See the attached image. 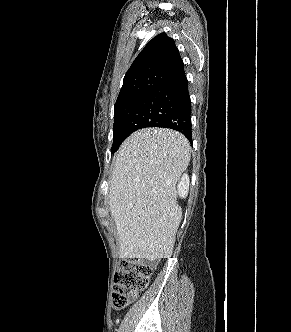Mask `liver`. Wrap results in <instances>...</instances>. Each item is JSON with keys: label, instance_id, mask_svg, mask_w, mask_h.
<instances>
[{"label": "liver", "instance_id": "1", "mask_svg": "<svg viewBox=\"0 0 291 332\" xmlns=\"http://www.w3.org/2000/svg\"><path fill=\"white\" fill-rule=\"evenodd\" d=\"M190 156L188 140L170 129H141L123 142L109 187L120 258L154 261L172 255L182 218L176 184Z\"/></svg>", "mask_w": 291, "mask_h": 332}]
</instances>
